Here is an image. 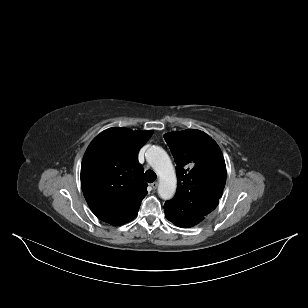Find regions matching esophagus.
Wrapping results in <instances>:
<instances>
[{
    "label": "esophagus",
    "mask_w": 308,
    "mask_h": 308,
    "mask_svg": "<svg viewBox=\"0 0 308 308\" xmlns=\"http://www.w3.org/2000/svg\"><path fill=\"white\" fill-rule=\"evenodd\" d=\"M151 187H152L154 190L157 189L158 183H157V182L152 183V184H151Z\"/></svg>",
    "instance_id": "1"
}]
</instances>
